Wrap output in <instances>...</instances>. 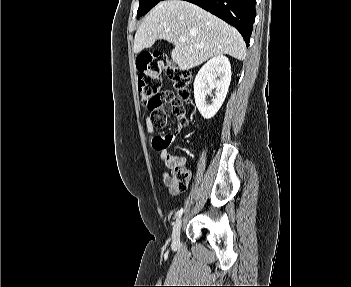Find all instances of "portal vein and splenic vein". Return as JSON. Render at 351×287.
I'll use <instances>...</instances> for the list:
<instances>
[{
	"label": "portal vein and splenic vein",
	"instance_id": "1",
	"mask_svg": "<svg viewBox=\"0 0 351 287\" xmlns=\"http://www.w3.org/2000/svg\"><path fill=\"white\" fill-rule=\"evenodd\" d=\"M179 41L180 42H185V38H181Z\"/></svg>",
	"mask_w": 351,
	"mask_h": 287
}]
</instances>
